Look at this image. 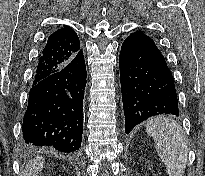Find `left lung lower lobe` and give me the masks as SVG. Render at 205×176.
<instances>
[{
	"instance_id": "obj_1",
	"label": "left lung lower lobe",
	"mask_w": 205,
	"mask_h": 176,
	"mask_svg": "<svg viewBox=\"0 0 205 176\" xmlns=\"http://www.w3.org/2000/svg\"><path fill=\"white\" fill-rule=\"evenodd\" d=\"M125 132L159 114L179 115L174 79L152 38L131 33L119 56Z\"/></svg>"
}]
</instances>
